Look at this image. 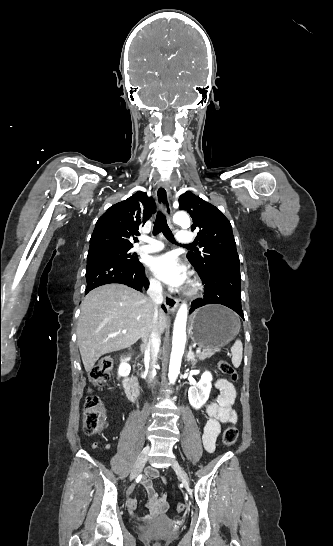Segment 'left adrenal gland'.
<instances>
[{"label": "left adrenal gland", "instance_id": "1", "mask_svg": "<svg viewBox=\"0 0 333 546\" xmlns=\"http://www.w3.org/2000/svg\"><path fill=\"white\" fill-rule=\"evenodd\" d=\"M187 361L188 362H191L192 365H195L197 360H196V356L192 350V346L190 345L189 346V352L187 354Z\"/></svg>", "mask_w": 333, "mask_h": 546}]
</instances>
